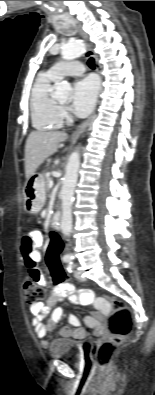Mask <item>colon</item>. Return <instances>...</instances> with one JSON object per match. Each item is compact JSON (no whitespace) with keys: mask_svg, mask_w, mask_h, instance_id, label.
Instances as JSON below:
<instances>
[{"mask_svg":"<svg viewBox=\"0 0 155 395\" xmlns=\"http://www.w3.org/2000/svg\"><path fill=\"white\" fill-rule=\"evenodd\" d=\"M50 234V244L46 245L44 262H46V270L49 277L54 279V288H64L66 283H73L71 272H63L64 266L60 260V252L63 251L67 244V239L62 238L61 234H56L57 230H52ZM24 295L26 303L32 305L40 302L45 297V290L42 285L32 276L24 281ZM113 304V311L109 315V332L110 337L100 341L95 349L94 355L97 364L101 368H106L115 355L117 348L123 342L125 337L131 332L133 316L130 309L117 299H108Z\"/></svg>","mask_w":155,"mask_h":395,"instance_id":"colon-1","label":"colon"}]
</instances>
